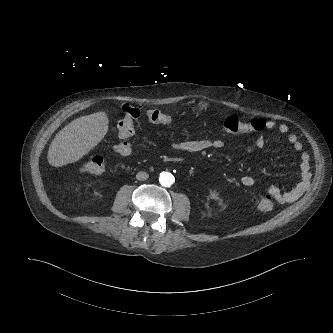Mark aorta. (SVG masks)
Listing matches in <instances>:
<instances>
[{"label":"aorta","mask_w":333,"mask_h":333,"mask_svg":"<svg viewBox=\"0 0 333 333\" xmlns=\"http://www.w3.org/2000/svg\"><path fill=\"white\" fill-rule=\"evenodd\" d=\"M159 181L163 186H171L174 182V177L168 172H162Z\"/></svg>","instance_id":"obj_1"}]
</instances>
